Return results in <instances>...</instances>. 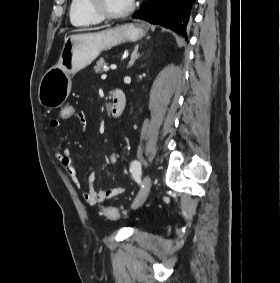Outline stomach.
I'll return each mask as SVG.
<instances>
[{
	"label": "stomach",
	"instance_id": "0dacf381",
	"mask_svg": "<svg viewBox=\"0 0 280 283\" xmlns=\"http://www.w3.org/2000/svg\"><path fill=\"white\" fill-rule=\"evenodd\" d=\"M145 24L129 23L95 33L74 34L65 38L58 63L42 77L38 98L42 106L57 108L70 94L72 76L90 65L104 50L143 38Z\"/></svg>",
	"mask_w": 280,
	"mask_h": 283
}]
</instances>
